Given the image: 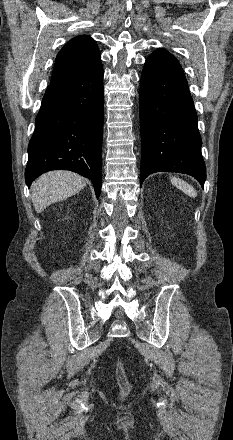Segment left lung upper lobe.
<instances>
[{
    "mask_svg": "<svg viewBox=\"0 0 233 440\" xmlns=\"http://www.w3.org/2000/svg\"><path fill=\"white\" fill-rule=\"evenodd\" d=\"M159 50H161V51H165V50H163V49H159Z\"/></svg>",
    "mask_w": 233,
    "mask_h": 440,
    "instance_id": "1",
    "label": "left lung upper lobe"
}]
</instances>
